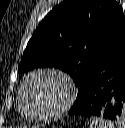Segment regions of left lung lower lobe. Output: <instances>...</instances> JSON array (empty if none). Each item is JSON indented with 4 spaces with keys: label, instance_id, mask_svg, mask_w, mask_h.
Here are the masks:
<instances>
[{
    "label": "left lung lower lobe",
    "instance_id": "0a47b994",
    "mask_svg": "<svg viewBox=\"0 0 125 128\" xmlns=\"http://www.w3.org/2000/svg\"><path fill=\"white\" fill-rule=\"evenodd\" d=\"M69 114L101 116L114 124L125 121V30L94 67Z\"/></svg>",
    "mask_w": 125,
    "mask_h": 128
}]
</instances>
